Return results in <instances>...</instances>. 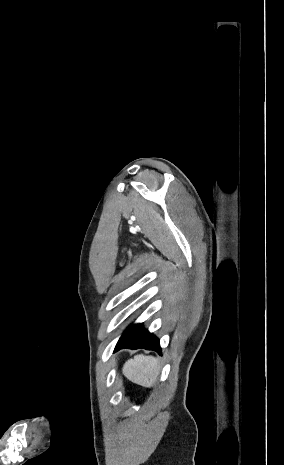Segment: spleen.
Returning a JSON list of instances; mask_svg holds the SVG:
<instances>
[{
    "mask_svg": "<svg viewBox=\"0 0 284 465\" xmlns=\"http://www.w3.org/2000/svg\"><path fill=\"white\" fill-rule=\"evenodd\" d=\"M122 373L126 379L136 383V385L153 387L160 373L159 361L155 357L135 355L133 359H129L123 365Z\"/></svg>",
    "mask_w": 284,
    "mask_h": 465,
    "instance_id": "spleen-1",
    "label": "spleen"
}]
</instances>
